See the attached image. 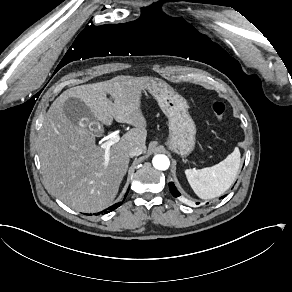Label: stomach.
<instances>
[{"label":"stomach","mask_w":292,"mask_h":292,"mask_svg":"<svg viewBox=\"0 0 292 292\" xmlns=\"http://www.w3.org/2000/svg\"><path fill=\"white\" fill-rule=\"evenodd\" d=\"M146 89L168 118L169 137L166 145L181 156L189 155L195 147L196 126L188 112L187 101L161 79L152 78Z\"/></svg>","instance_id":"stomach-1"}]
</instances>
